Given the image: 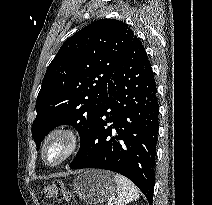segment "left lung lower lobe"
I'll list each match as a JSON object with an SVG mask.
<instances>
[{"instance_id": "0a47b994", "label": "left lung lower lobe", "mask_w": 212, "mask_h": 205, "mask_svg": "<svg viewBox=\"0 0 212 205\" xmlns=\"http://www.w3.org/2000/svg\"><path fill=\"white\" fill-rule=\"evenodd\" d=\"M153 71L134 36L108 83V98L70 168H100L129 178L150 205L159 105Z\"/></svg>"}]
</instances>
